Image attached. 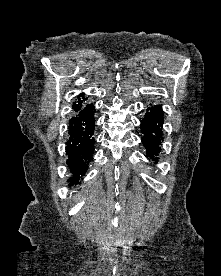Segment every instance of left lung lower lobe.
I'll use <instances>...</instances> for the list:
<instances>
[{
    "mask_svg": "<svg viewBox=\"0 0 221 276\" xmlns=\"http://www.w3.org/2000/svg\"><path fill=\"white\" fill-rule=\"evenodd\" d=\"M163 127V110L160 105H151L147 107V111L141 120V132L143 134L142 142L147 151V156L156 163L157 155L160 152V144L162 138Z\"/></svg>",
    "mask_w": 221,
    "mask_h": 276,
    "instance_id": "obj_1",
    "label": "left lung lower lobe"
}]
</instances>
